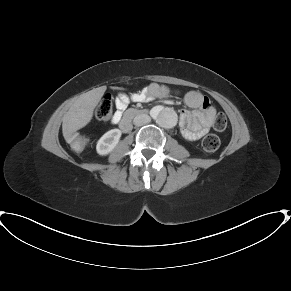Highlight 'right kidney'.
I'll list each match as a JSON object with an SVG mask.
<instances>
[{"mask_svg": "<svg viewBox=\"0 0 291 291\" xmlns=\"http://www.w3.org/2000/svg\"><path fill=\"white\" fill-rule=\"evenodd\" d=\"M121 134L122 132L119 129L106 132L97 142V153L102 156L109 154L118 144Z\"/></svg>", "mask_w": 291, "mask_h": 291, "instance_id": "ca27d5eb", "label": "right kidney"}]
</instances>
